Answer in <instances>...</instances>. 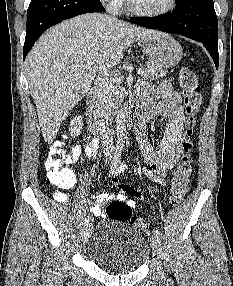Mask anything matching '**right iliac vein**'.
<instances>
[{"mask_svg":"<svg viewBox=\"0 0 233 286\" xmlns=\"http://www.w3.org/2000/svg\"><path fill=\"white\" fill-rule=\"evenodd\" d=\"M91 230H92L91 225H88L84 228L82 233V239L84 243L87 242L88 239L90 238Z\"/></svg>","mask_w":233,"mask_h":286,"instance_id":"right-iliac-vein-1","label":"right iliac vein"}]
</instances>
